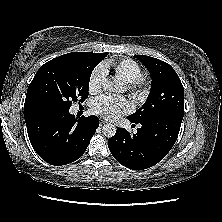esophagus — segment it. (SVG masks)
<instances>
[{
	"instance_id": "34e87169",
	"label": "esophagus",
	"mask_w": 222,
	"mask_h": 222,
	"mask_svg": "<svg viewBox=\"0 0 222 222\" xmlns=\"http://www.w3.org/2000/svg\"><path fill=\"white\" fill-rule=\"evenodd\" d=\"M107 122L105 121V120H101L100 121V125L102 126V125H105Z\"/></svg>"
}]
</instances>
